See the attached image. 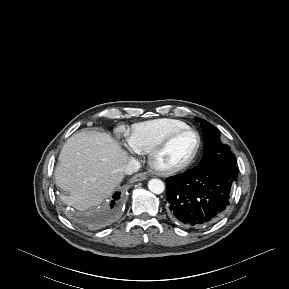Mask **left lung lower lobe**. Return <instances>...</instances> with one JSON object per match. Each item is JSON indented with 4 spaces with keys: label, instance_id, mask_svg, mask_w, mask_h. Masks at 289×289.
Masks as SVG:
<instances>
[{
    "label": "left lung lower lobe",
    "instance_id": "left-lung-lower-lobe-1",
    "mask_svg": "<svg viewBox=\"0 0 289 289\" xmlns=\"http://www.w3.org/2000/svg\"><path fill=\"white\" fill-rule=\"evenodd\" d=\"M235 165L195 167L166 179L170 218L182 226L199 227L216 221L229 205L237 179Z\"/></svg>",
    "mask_w": 289,
    "mask_h": 289
}]
</instances>
